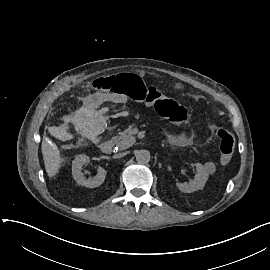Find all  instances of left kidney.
<instances>
[{"label": "left kidney", "mask_w": 270, "mask_h": 270, "mask_svg": "<svg viewBox=\"0 0 270 270\" xmlns=\"http://www.w3.org/2000/svg\"><path fill=\"white\" fill-rule=\"evenodd\" d=\"M195 166L198 174L192 182L176 183L178 189L183 193H193L197 190H201L208 181L209 175L204 166L200 163H195Z\"/></svg>", "instance_id": "1"}]
</instances>
